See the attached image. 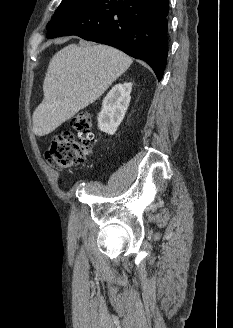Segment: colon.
<instances>
[{
    "label": "colon",
    "mask_w": 233,
    "mask_h": 328,
    "mask_svg": "<svg viewBox=\"0 0 233 328\" xmlns=\"http://www.w3.org/2000/svg\"><path fill=\"white\" fill-rule=\"evenodd\" d=\"M71 125L74 133L62 131L55 134L45 152L47 163L54 168L64 169L83 162L94 147L92 118L88 112L75 115Z\"/></svg>",
    "instance_id": "1"
}]
</instances>
